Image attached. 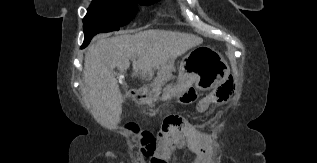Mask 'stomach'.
I'll list each match as a JSON object with an SVG mask.
<instances>
[{
	"mask_svg": "<svg viewBox=\"0 0 317 163\" xmlns=\"http://www.w3.org/2000/svg\"><path fill=\"white\" fill-rule=\"evenodd\" d=\"M201 48H207L200 50L205 53L202 58L193 64L182 62L177 83L174 86L166 85L162 92L153 94L149 90H144L138 96L139 103L153 106V103L157 101L181 98L193 84L201 90H211L224 82L230 73L226 61L213 48Z\"/></svg>",
	"mask_w": 317,
	"mask_h": 163,
	"instance_id": "1",
	"label": "stomach"
}]
</instances>
